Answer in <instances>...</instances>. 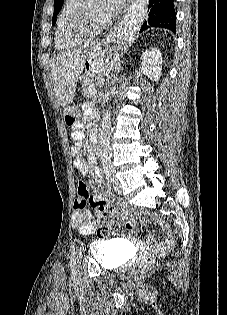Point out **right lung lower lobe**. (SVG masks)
<instances>
[{
  "label": "right lung lower lobe",
  "instance_id": "right-lung-lower-lobe-1",
  "mask_svg": "<svg viewBox=\"0 0 227 315\" xmlns=\"http://www.w3.org/2000/svg\"><path fill=\"white\" fill-rule=\"evenodd\" d=\"M176 13L173 0H149L148 17L140 31L149 27H163L176 32Z\"/></svg>",
  "mask_w": 227,
  "mask_h": 315
}]
</instances>
